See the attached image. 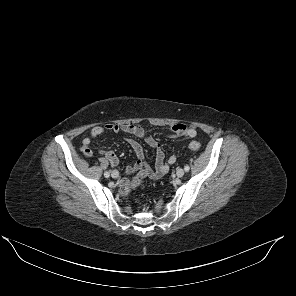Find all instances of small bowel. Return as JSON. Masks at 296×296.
Wrapping results in <instances>:
<instances>
[{
    "mask_svg": "<svg viewBox=\"0 0 296 296\" xmlns=\"http://www.w3.org/2000/svg\"><path fill=\"white\" fill-rule=\"evenodd\" d=\"M106 131L113 133H125L128 136L126 141L136 152L139 160L126 167L127 173H136L142 178L159 179L169 170V167L176 162V156L171 155L168 159H165L164 151L157 139H155L150 132L136 124H106L105 126H96L91 132L90 136L85 137L82 141L81 151L85 156L92 155L91 144L93 140ZM197 135V129L194 126H186L182 123H176L171 127V137L181 138L188 137L193 138ZM138 137L143 139L150 147L155 150V169H152L145 161V151L143 147L133 138ZM99 154H101L112 166H117L119 164V159L117 155L111 150L98 149ZM137 175V176H138ZM131 180L122 178L119 180V184L122 186L124 184H129Z\"/></svg>",
    "mask_w": 296,
    "mask_h": 296,
    "instance_id": "small-bowel-1",
    "label": "small bowel"
}]
</instances>
